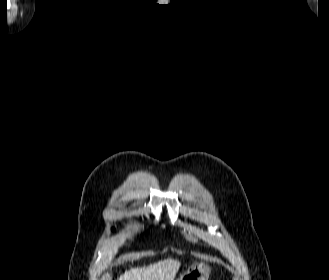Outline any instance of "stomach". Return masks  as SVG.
Returning a JSON list of instances; mask_svg holds the SVG:
<instances>
[{
  "label": "stomach",
  "mask_w": 329,
  "mask_h": 280,
  "mask_svg": "<svg viewBox=\"0 0 329 280\" xmlns=\"http://www.w3.org/2000/svg\"><path fill=\"white\" fill-rule=\"evenodd\" d=\"M210 268L204 263L192 264L177 280H208Z\"/></svg>",
  "instance_id": "0dacf381"
}]
</instances>
